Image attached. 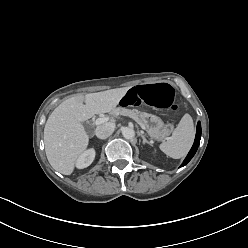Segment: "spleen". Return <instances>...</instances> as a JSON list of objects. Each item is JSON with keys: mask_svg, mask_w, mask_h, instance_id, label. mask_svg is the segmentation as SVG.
Segmentation results:
<instances>
[{"mask_svg": "<svg viewBox=\"0 0 248 248\" xmlns=\"http://www.w3.org/2000/svg\"><path fill=\"white\" fill-rule=\"evenodd\" d=\"M194 136L195 130L193 119L189 114H185L173 131L172 136L167 141L160 144V149L171 158H182L190 150Z\"/></svg>", "mask_w": 248, "mask_h": 248, "instance_id": "obj_1", "label": "spleen"}]
</instances>
